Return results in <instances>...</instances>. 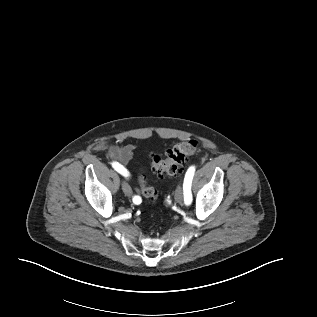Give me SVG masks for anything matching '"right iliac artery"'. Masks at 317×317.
<instances>
[{"label":"right iliac artery","instance_id":"obj_1","mask_svg":"<svg viewBox=\"0 0 317 317\" xmlns=\"http://www.w3.org/2000/svg\"><path fill=\"white\" fill-rule=\"evenodd\" d=\"M112 167L118 172L120 173L121 175H123L124 177H128L129 176V172L127 171V169L123 168V166H121L119 163L117 162H112ZM133 202L135 204H140L141 203V198L139 196H134L133 197Z\"/></svg>","mask_w":317,"mask_h":317}]
</instances>
